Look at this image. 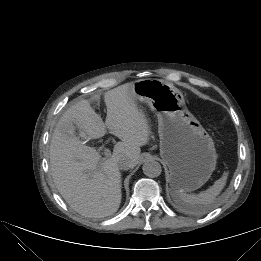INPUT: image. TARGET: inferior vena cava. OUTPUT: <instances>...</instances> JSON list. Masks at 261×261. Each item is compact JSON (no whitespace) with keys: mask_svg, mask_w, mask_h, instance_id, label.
Segmentation results:
<instances>
[{"mask_svg":"<svg viewBox=\"0 0 261 261\" xmlns=\"http://www.w3.org/2000/svg\"><path fill=\"white\" fill-rule=\"evenodd\" d=\"M118 167L119 169L121 170H128L129 168L132 167V163L130 160L128 159H121L119 162H118Z\"/></svg>","mask_w":261,"mask_h":261,"instance_id":"obj_1","label":"inferior vena cava"}]
</instances>
